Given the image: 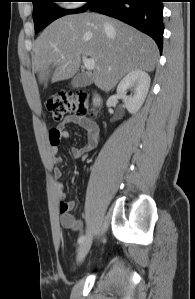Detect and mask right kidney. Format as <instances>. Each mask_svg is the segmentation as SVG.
<instances>
[{"label": "right kidney", "mask_w": 195, "mask_h": 299, "mask_svg": "<svg viewBox=\"0 0 195 299\" xmlns=\"http://www.w3.org/2000/svg\"><path fill=\"white\" fill-rule=\"evenodd\" d=\"M150 77L143 70L129 72L117 86V96L123 100L129 113L135 114L142 107L150 87ZM131 89L133 95L127 96Z\"/></svg>", "instance_id": "obj_1"}]
</instances>
